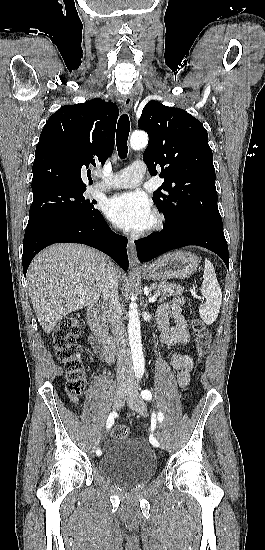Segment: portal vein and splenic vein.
Listing matches in <instances>:
<instances>
[{
  "label": "portal vein and splenic vein",
  "instance_id": "1",
  "mask_svg": "<svg viewBox=\"0 0 265 550\" xmlns=\"http://www.w3.org/2000/svg\"><path fill=\"white\" fill-rule=\"evenodd\" d=\"M157 298H158L157 295H153L149 298V302L154 303L157 300Z\"/></svg>",
  "mask_w": 265,
  "mask_h": 550
}]
</instances>
